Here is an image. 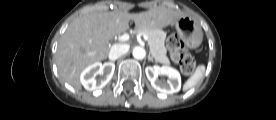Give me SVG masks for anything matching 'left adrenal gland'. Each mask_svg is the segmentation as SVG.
I'll return each instance as SVG.
<instances>
[{"label":"left adrenal gland","instance_id":"a2214340","mask_svg":"<svg viewBox=\"0 0 276 120\" xmlns=\"http://www.w3.org/2000/svg\"><path fill=\"white\" fill-rule=\"evenodd\" d=\"M148 60L154 62L153 57L150 54L148 55Z\"/></svg>","mask_w":276,"mask_h":120}]
</instances>
